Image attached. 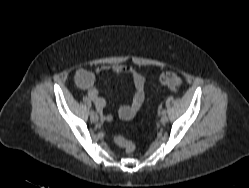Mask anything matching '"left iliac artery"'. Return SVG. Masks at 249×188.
Wrapping results in <instances>:
<instances>
[{
	"instance_id": "obj_1",
	"label": "left iliac artery",
	"mask_w": 249,
	"mask_h": 188,
	"mask_svg": "<svg viewBox=\"0 0 249 188\" xmlns=\"http://www.w3.org/2000/svg\"><path fill=\"white\" fill-rule=\"evenodd\" d=\"M162 114L163 115H165L166 114V110L164 109V110H162Z\"/></svg>"
}]
</instances>
